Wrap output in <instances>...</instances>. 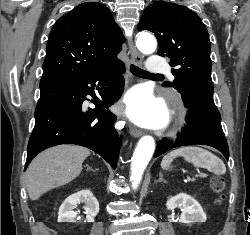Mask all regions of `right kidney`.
<instances>
[{
  "mask_svg": "<svg viewBox=\"0 0 250 235\" xmlns=\"http://www.w3.org/2000/svg\"><path fill=\"white\" fill-rule=\"evenodd\" d=\"M80 203L85 204L87 222H94V217L99 212V203L90 190H81L67 197L59 208L58 222H74L78 214L74 209Z\"/></svg>",
  "mask_w": 250,
  "mask_h": 235,
  "instance_id": "ca27d5eb",
  "label": "right kidney"
}]
</instances>
